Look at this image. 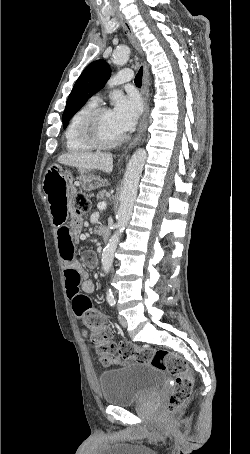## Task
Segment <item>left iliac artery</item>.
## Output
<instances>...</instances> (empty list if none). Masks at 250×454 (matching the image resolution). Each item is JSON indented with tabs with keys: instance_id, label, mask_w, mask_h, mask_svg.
Wrapping results in <instances>:
<instances>
[{
	"instance_id": "obj_1",
	"label": "left iliac artery",
	"mask_w": 250,
	"mask_h": 454,
	"mask_svg": "<svg viewBox=\"0 0 250 454\" xmlns=\"http://www.w3.org/2000/svg\"><path fill=\"white\" fill-rule=\"evenodd\" d=\"M107 301L111 306H114L116 304L115 298L113 296L108 297Z\"/></svg>"
}]
</instances>
